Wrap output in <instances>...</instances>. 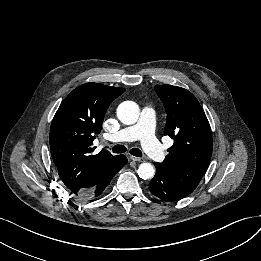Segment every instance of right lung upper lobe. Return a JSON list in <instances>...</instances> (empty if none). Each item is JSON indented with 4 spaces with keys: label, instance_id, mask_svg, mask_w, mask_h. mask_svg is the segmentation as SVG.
I'll return each instance as SVG.
<instances>
[{
    "label": "right lung upper lobe",
    "instance_id": "obj_1",
    "mask_svg": "<svg viewBox=\"0 0 261 261\" xmlns=\"http://www.w3.org/2000/svg\"><path fill=\"white\" fill-rule=\"evenodd\" d=\"M124 91L86 83L74 89L58 108L50 129L51 156L71 194L80 196L92 188L116 157L105 150L93 155L92 145L107 108Z\"/></svg>",
    "mask_w": 261,
    "mask_h": 261
}]
</instances>
